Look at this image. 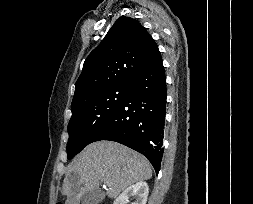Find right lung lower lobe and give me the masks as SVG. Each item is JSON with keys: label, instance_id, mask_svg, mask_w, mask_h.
<instances>
[{"label": "right lung lower lobe", "instance_id": "right-lung-lower-lobe-1", "mask_svg": "<svg viewBox=\"0 0 253 204\" xmlns=\"http://www.w3.org/2000/svg\"><path fill=\"white\" fill-rule=\"evenodd\" d=\"M166 96V77L158 52L129 84L124 101L94 141L111 140L134 149L145 155L158 173L163 155Z\"/></svg>", "mask_w": 253, "mask_h": 204}]
</instances>
